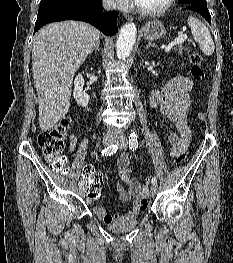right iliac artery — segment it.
Here are the masks:
<instances>
[{
  "instance_id": "obj_1",
  "label": "right iliac artery",
  "mask_w": 233,
  "mask_h": 263,
  "mask_svg": "<svg viewBox=\"0 0 233 263\" xmlns=\"http://www.w3.org/2000/svg\"><path fill=\"white\" fill-rule=\"evenodd\" d=\"M118 148H119L118 145H110V146H108L107 148H105V149H103V150L101 151V155H102V156H110V155H113L114 153L117 152ZM83 185H84V181L81 180V181L79 182V187H82Z\"/></svg>"
}]
</instances>
